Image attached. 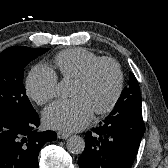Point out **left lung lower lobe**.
I'll return each instance as SVG.
<instances>
[{
	"label": "left lung lower lobe",
	"mask_w": 168,
	"mask_h": 168,
	"mask_svg": "<svg viewBox=\"0 0 168 168\" xmlns=\"http://www.w3.org/2000/svg\"><path fill=\"white\" fill-rule=\"evenodd\" d=\"M142 109L127 108L110 115L87 132L80 168H131L144 134Z\"/></svg>",
	"instance_id": "0a47b994"
}]
</instances>
